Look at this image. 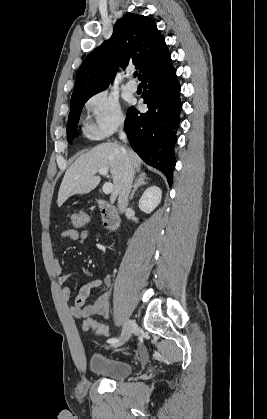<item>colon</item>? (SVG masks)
Here are the masks:
<instances>
[{"label": "colon", "mask_w": 267, "mask_h": 419, "mask_svg": "<svg viewBox=\"0 0 267 419\" xmlns=\"http://www.w3.org/2000/svg\"><path fill=\"white\" fill-rule=\"evenodd\" d=\"M87 220H88V216L84 212H79L77 214H74L71 218L72 229L74 230L82 229L87 223ZM82 328L85 331L92 330L96 334L102 335V336H108L109 334V328L107 325L97 322L92 319L85 320L83 322Z\"/></svg>", "instance_id": "1"}]
</instances>
